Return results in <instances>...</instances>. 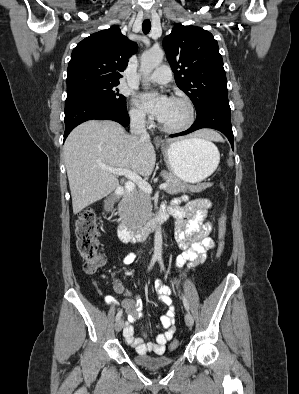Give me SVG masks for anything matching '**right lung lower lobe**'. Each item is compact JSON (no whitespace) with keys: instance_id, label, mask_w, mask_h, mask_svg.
<instances>
[{"instance_id":"right-lung-lower-lobe-1","label":"right lung lower lobe","mask_w":299,"mask_h":394,"mask_svg":"<svg viewBox=\"0 0 299 394\" xmlns=\"http://www.w3.org/2000/svg\"><path fill=\"white\" fill-rule=\"evenodd\" d=\"M92 119L113 120L124 127L130 123L126 107L117 108L104 99L91 96L67 98L64 140L77 125Z\"/></svg>"}]
</instances>
